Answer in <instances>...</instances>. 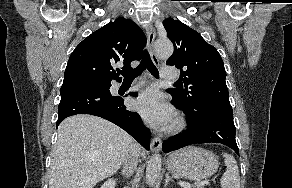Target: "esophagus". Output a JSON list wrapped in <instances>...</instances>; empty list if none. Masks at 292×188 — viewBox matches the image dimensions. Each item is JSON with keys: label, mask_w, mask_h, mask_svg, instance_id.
<instances>
[{"label": "esophagus", "mask_w": 292, "mask_h": 188, "mask_svg": "<svg viewBox=\"0 0 292 188\" xmlns=\"http://www.w3.org/2000/svg\"><path fill=\"white\" fill-rule=\"evenodd\" d=\"M146 32H147V48H148V51L150 53V56L153 60V62L158 65L159 64V60H158V57L156 56L155 54V51H154V40H155V36H156V31L154 29V27L152 25H148L146 27ZM161 146H162V140L159 136L155 135L152 139V142H151V150L153 152H157L161 149Z\"/></svg>", "instance_id": "34e87169"}]
</instances>
